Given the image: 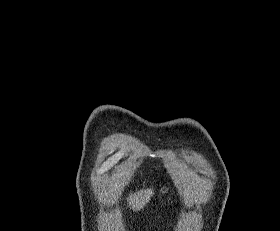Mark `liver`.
I'll return each instance as SVG.
<instances>
[{"instance_id":"6515ba94","label":"liver","mask_w":280,"mask_h":231,"mask_svg":"<svg viewBox=\"0 0 280 231\" xmlns=\"http://www.w3.org/2000/svg\"><path fill=\"white\" fill-rule=\"evenodd\" d=\"M154 189H140L138 193H131L126 197L129 205H132L133 211H139L146 203H148Z\"/></svg>"}]
</instances>
